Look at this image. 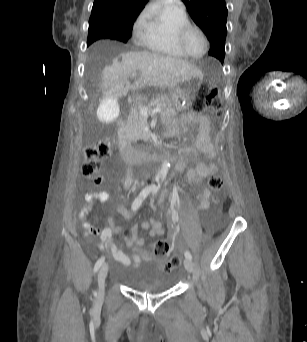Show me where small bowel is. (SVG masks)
I'll return each instance as SVG.
<instances>
[{"instance_id":"small-bowel-1","label":"small bowel","mask_w":307,"mask_h":342,"mask_svg":"<svg viewBox=\"0 0 307 342\" xmlns=\"http://www.w3.org/2000/svg\"><path fill=\"white\" fill-rule=\"evenodd\" d=\"M187 129H196V135L193 144L180 150L179 161L175 165L174 172L183 171L190 163L194 166L188 168L187 177L190 181L200 183L204 178L216 174L218 172V164L215 159L217 151L214 141L211 138L212 125L209 118L203 114L192 113L188 117ZM205 156L208 162L199 160V155ZM126 187L129 189L130 181H127ZM209 188L204 187L197 196V208L199 210H207L210 206ZM167 192L162 193L160 202L164 203ZM86 205L82 207L79 212V218L82 220V226L86 236L97 235L101 239L100 249L109 251L112 256L119 262L130 265L132 259L125 253L124 247L142 248L145 240L138 236V228L136 225L132 226L131 234L129 236L123 235L121 227L114 223V212L119 213L125 220H131V214L125 208L119 207L112 210L108 214L109 226L99 229L94 228L91 224L85 221L87 214L93 209L96 201L106 202L109 200V194L105 191H89L84 195ZM143 230L149 231L150 234L161 236L164 234V229L161 223L152 219L150 222H143L141 224ZM120 238V245L118 246L113 241V236ZM134 261L138 257L133 258Z\"/></svg>"}]
</instances>
